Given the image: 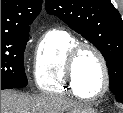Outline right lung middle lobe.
<instances>
[{
    "instance_id": "dd1d6c3e",
    "label": "right lung middle lobe",
    "mask_w": 123,
    "mask_h": 113,
    "mask_svg": "<svg viewBox=\"0 0 123 113\" xmlns=\"http://www.w3.org/2000/svg\"><path fill=\"white\" fill-rule=\"evenodd\" d=\"M28 35L1 38V90L23 88L27 85L23 52Z\"/></svg>"
}]
</instances>
